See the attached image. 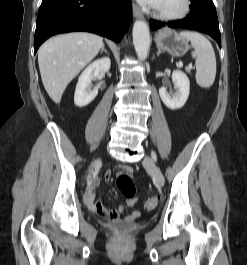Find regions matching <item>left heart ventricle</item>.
Wrapping results in <instances>:
<instances>
[{
    "label": "left heart ventricle",
    "instance_id": "left-heart-ventricle-1",
    "mask_svg": "<svg viewBox=\"0 0 247 265\" xmlns=\"http://www.w3.org/2000/svg\"><path fill=\"white\" fill-rule=\"evenodd\" d=\"M180 6L181 0H160L157 8L166 12H174L178 10Z\"/></svg>",
    "mask_w": 247,
    "mask_h": 265
}]
</instances>
